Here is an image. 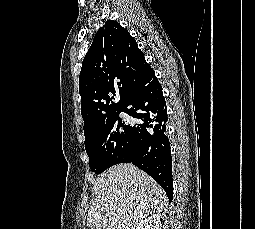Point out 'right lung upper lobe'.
<instances>
[{
	"instance_id": "obj_1",
	"label": "right lung upper lobe",
	"mask_w": 255,
	"mask_h": 229,
	"mask_svg": "<svg viewBox=\"0 0 255 229\" xmlns=\"http://www.w3.org/2000/svg\"><path fill=\"white\" fill-rule=\"evenodd\" d=\"M147 67L150 65L129 32L116 21H106L85 55L79 76L85 140L123 110L136 77ZM116 93L118 103L113 101Z\"/></svg>"
}]
</instances>
